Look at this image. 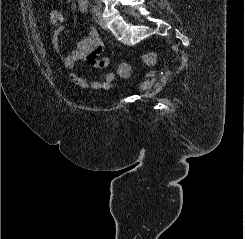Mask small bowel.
Returning <instances> with one entry per match:
<instances>
[{
    "label": "small bowel",
    "mask_w": 245,
    "mask_h": 239,
    "mask_svg": "<svg viewBox=\"0 0 245 239\" xmlns=\"http://www.w3.org/2000/svg\"><path fill=\"white\" fill-rule=\"evenodd\" d=\"M57 1L60 6L64 3V0ZM88 6V0H77V7L80 13H86ZM50 20L55 27L53 38L56 41L64 30L65 14L63 10L61 8L51 10ZM103 48L104 44L96 27L90 26L87 35L78 42L77 47L70 54L62 56V63L69 70V79L72 83L83 89L107 90L112 87L117 79V73L114 71L107 72L100 80L83 78L75 71L76 64L82 61H87L92 67L97 69L110 66L112 59L100 56Z\"/></svg>",
    "instance_id": "c3829d8e"
}]
</instances>
